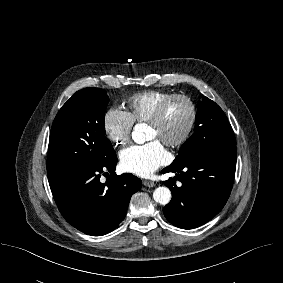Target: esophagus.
<instances>
[{
    "label": "esophagus",
    "instance_id": "obj_1",
    "mask_svg": "<svg viewBox=\"0 0 283 283\" xmlns=\"http://www.w3.org/2000/svg\"><path fill=\"white\" fill-rule=\"evenodd\" d=\"M143 185L146 187H154L156 184L152 181L143 180Z\"/></svg>",
    "mask_w": 283,
    "mask_h": 283
}]
</instances>
